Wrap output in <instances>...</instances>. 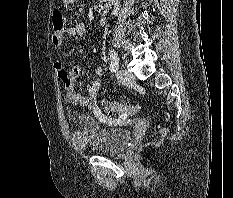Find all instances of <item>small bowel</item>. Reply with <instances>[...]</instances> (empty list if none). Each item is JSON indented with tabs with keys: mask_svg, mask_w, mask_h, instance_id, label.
Masks as SVG:
<instances>
[{
	"mask_svg": "<svg viewBox=\"0 0 233 198\" xmlns=\"http://www.w3.org/2000/svg\"><path fill=\"white\" fill-rule=\"evenodd\" d=\"M66 35H70L75 40H82L85 38L86 29L83 23H77L71 26H65L60 32H53L51 40L55 46L62 45ZM58 78L63 82L64 95L68 103L80 106H94L97 96L101 89L102 82L100 77L103 74L102 67L96 68L97 78L91 81L86 88V94L83 95L76 90V81L81 74V66L78 64L73 65L70 69H66L63 66L61 60H57L54 64ZM95 116L102 120L107 121V117L99 110L95 111Z\"/></svg>",
	"mask_w": 233,
	"mask_h": 198,
	"instance_id": "small-bowel-1",
	"label": "small bowel"
}]
</instances>
